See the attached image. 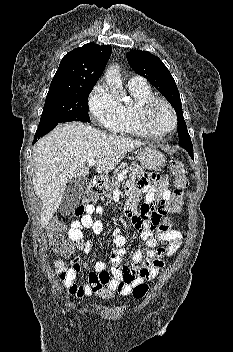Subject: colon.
Returning a JSON list of instances; mask_svg holds the SVG:
<instances>
[{"instance_id": "1", "label": "colon", "mask_w": 233, "mask_h": 352, "mask_svg": "<svg viewBox=\"0 0 233 352\" xmlns=\"http://www.w3.org/2000/svg\"><path fill=\"white\" fill-rule=\"evenodd\" d=\"M171 172L174 181V193L170 201V207L172 211H178L183 204L184 190L188 186L187 171L182 161L174 160L171 166ZM91 199L92 194L86 193L83 201L86 202ZM84 211L85 206L81 204L74 209L73 214L75 216H80L84 213ZM46 233L49 246L53 252L60 254L63 257H68L75 252L76 245L64 236V223L62 221H51L47 226ZM55 267L56 273L61 280L68 277L71 272V267H69L62 259L56 260ZM152 278H154V276L150 275V279ZM108 280V275L90 272L88 274V285L92 294L105 299L113 298L116 290L107 287ZM148 291V283L142 282L134 286L131 292L135 298L141 299L146 296Z\"/></svg>"}]
</instances>
